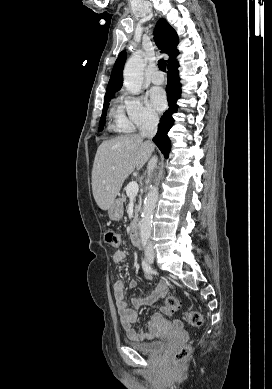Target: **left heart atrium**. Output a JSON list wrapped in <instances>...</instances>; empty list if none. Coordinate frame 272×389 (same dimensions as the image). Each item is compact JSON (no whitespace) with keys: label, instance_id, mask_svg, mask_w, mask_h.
<instances>
[{"label":"left heart atrium","instance_id":"1","mask_svg":"<svg viewBox=\"0 0 272 389\" xmlns=\"http://www.w3.org/2000/svg\"><path fill=\"white\" fill-rule=\"evenodd\" d=\"M149 105L156 111H163L166 108V97L162 90L152 89L149 94Z\"/></svg>","mask_w":272,"mask_h":389}]
</instances>
